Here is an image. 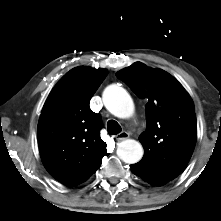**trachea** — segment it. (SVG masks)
Instances as JSON below:
<instances>
[{"label": "trachea", "instance_id": "trachea-1", "mask_svg": "<svg viewBox=\"0 0 221 221\" xmlns=\"http://www.w3.org/2000/svg\"><path fill=\"white\" fill-rule=\"evenodd\" d=\"M107 131L109 135H116L122 131V128L115 120H109L107 123Z\"/></svg>", "mask_w": 221, "mask_h": 221}]
</instances>
